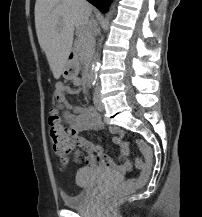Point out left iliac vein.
Listing matches in <instances>:
<instances>
[{
  "label": "left iliac vein",
  "mask_w": 202,
  "mask_h": 217,
  "mask_svg": "<svg viewBox=\"0 0 202 217\" xmlns=\"http://www.w3.org/2000/svg\"><path fill=\"white\" fill-rule=\"evenodd\" d=\"M94 104L98 111L104 110V104L101 101L99 89H96L94 92Z\"/></svg>",
  "instance_id": "left-iliac-vein-1"
}]
</instances>
